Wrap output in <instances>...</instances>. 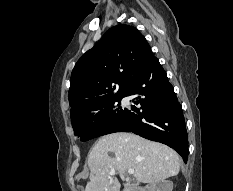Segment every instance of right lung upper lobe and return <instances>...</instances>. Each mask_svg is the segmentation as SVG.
<instances>
[{
  "label": "right lung upper lobe",
  "mask_w": 233,
  "mask_h": 191,
  "mask_svg": "<svg viewBox=\"0 0 233 191\" xmlns=\"http://www.w3.org/2000/svg\"><path fill=\"white\" fill-rule=\"evenodd\" d=\"M152 56L149 44L135 27L120 24L110 28L81 56L72 71L70 116L125 97Z\"/></svg>",
  "instance_id": "obj_1"
}]
</instances>
